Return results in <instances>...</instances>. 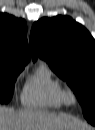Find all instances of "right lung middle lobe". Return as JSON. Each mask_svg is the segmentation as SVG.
Instances as JSON below:
<instances>
[{
    "label": "right lung middle lobe",
    "instance_id": "right-lung-middle-lobe-1",
    "mask_svg": "<svg viewBox=\"0 0 95 130\" xmlns=\"http://www.w3.org/2000/svg\"><path fill=\"white\" fill-rule=\"evenodd\" d=\"M23 68L0 67V103H8L13 95L14 82Z\"/></svg>",
    "mask_w": 95,
    "mask_h": 130
}]
</instances>
